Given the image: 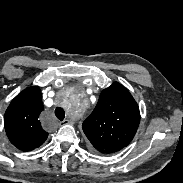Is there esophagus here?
Masks as SVG:
<instances>
[{
    "mask_svg": "<svg viewBox=\"0 0 183 183\" xmlns=\"http://www.w3.org/2000/svg\"><path fill=\"white\" fill-rule=\"evenodd\" d=\"M61 123H62V125H68V124H71V121L68 119H65Z\"/></svg>",
    "mask_w": 183,
    "mask_h": 183,
    "instance_id": "34e87169",
    "label": "esophagus"
}]
</instances>
